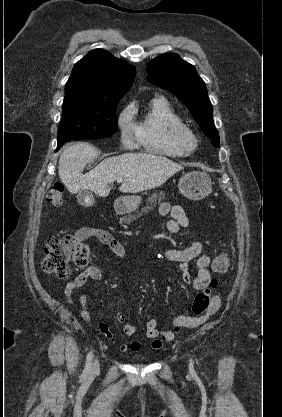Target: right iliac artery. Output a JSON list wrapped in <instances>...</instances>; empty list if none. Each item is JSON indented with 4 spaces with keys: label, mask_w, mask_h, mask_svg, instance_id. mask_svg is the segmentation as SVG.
Masks as SVG:
<instances>
[{
    "label": "right iliac artery",
    "mask_w": 282,
    "mask_h": 417,
    "mask_svg": "<svg viewBox=\"0 0 282 417\" xmlns=\"http://www.w3.org/2000/svg\"><path fill=\"white\" fill-rule=\"evenodd\" d=\"M92 360H93V352L90 351L86 357V364H85V369L83 372L84 375H88L90 373Z\"/></svg>",
    "instance_id": "82829eb1"
}]
</instances>
